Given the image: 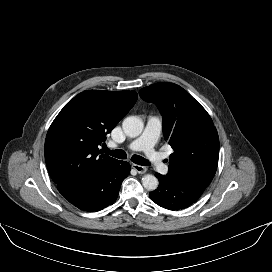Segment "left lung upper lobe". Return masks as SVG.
Here are the masks:
<instances>
[{
	"instance_id": "obj_1",
	"label": "left lung upper lobe",
	"mask_w": 272,
	"mask_h": 272,
	"mask_svg": "<svg viewBox=\"0 0 272 272\" xmlns=\"http://www.w3.org/2000/svg\"><path fill=\"white\" fill-rule=\"evenodd\" d=\"M140 97L157 105L163 116V134L174 149L168 174L208 186L219 158L217 130L207 111L185 89L159 82L144 87Z\"/></svg>"
}]
</instances>
